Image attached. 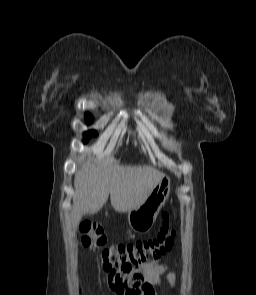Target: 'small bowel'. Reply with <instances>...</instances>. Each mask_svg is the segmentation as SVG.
Wrapping results in <instances>:
<instances>
[{
    "instance_id": "c3829d8e",
    "label": "small bowel",
    "mask_w": 256,
    "mask_h": 295,
    "mask_svg": "<svg viewBox=\"0 0 256 295\" xmlns=\"http://www.w3.org/2000/svg\"><path fill=\"white\" fill-rule=\"evenodd\" d=\"M163 274H166L170 285H175L176 273L158 261L137 269L105 272L103 283L113 295H156L155 288L163 285Z\"/></svg>"
}]
</instances>
